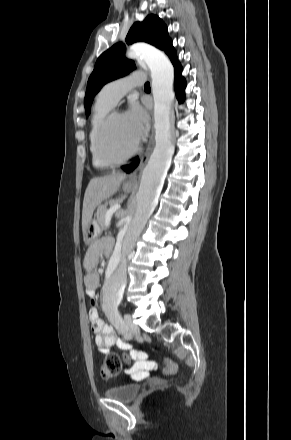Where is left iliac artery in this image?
<instances>
[{
  "instance_id": "44dca946",
  "label": "left iliac artery",
  "mask_w": 291,
  "mask_h": 440,
  "mask_svg": "<svg viewBox=\"0 0 291 440\" xmlns=\"http://www.w3.org/2000/svg\"><path fill=\"white\" fill-rule=\"evenodd\" d=\"M114 323L118 326V327H121V328H123L124 327V325H123V323H122V320H121V317H120V315L117 313V316L115 317V319H114ZM125 328V327H124Z\"/></svg>"
}]
</instances>
